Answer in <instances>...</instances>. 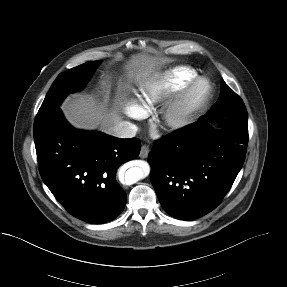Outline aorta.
<instances>
[{
	"label": "aorta",
	"mask_w": 287,
	"mask_h": 287,
	"mask_svg": "<svg viewBox=\"0 0 287 287\" xmlns=\"http://www.w3.org/2000/svg\"><path fill=\"white\" fill-rule=\"evenodd\" d=\"M145 176V172L141 168H130L126 171L125 182L126 184L136 183L138 180L142 179Z\"/></svg>",
	"instance_id": "762f6f07"
}]
</instances>
